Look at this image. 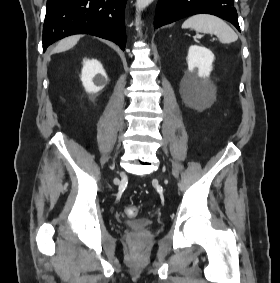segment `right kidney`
<instances>
[{
  "label": "right kidney",
  "mask_w": 280,
  "mask_h": 283,
  "mask_svg": "<svg viewBox=\"0 0 280 283\" xmlns=\"http://www.w3.org/2000/svg\"><path fill=\"white\" fill-rule=\"evenodd\" d=\"M81 80L86 92L98 93L105 87L107 75L98 60L85 59L83 61Z\"/></svg>",
  "instance_id": "ca27d5eb"
}]
</instances>
